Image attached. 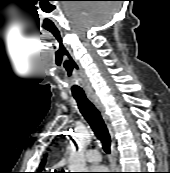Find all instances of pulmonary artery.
Segmentation results:
<instances>
[{"label":"pulmonary artery","instance_id":"e3ab8cb5","mask_svg":"<svg viewBox=\"0 0 170 173\" xmlns=\"http://www.w3.org/2000/svg\"><path fill=\"white\" fill-rule=\"evenodd\" d=\"M85 158L87 162L96 164L101 161L100 152L97 149H89L85 152Z\"/></svg>","mask_w":170,"mask_h":173}]
</instances>
